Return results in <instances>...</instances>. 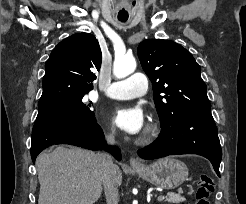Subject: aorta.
<instances>
[{
  "label": "aorta",
  "mask_w": 246,
  "mask_h": 204,
  "mask_svg": "<svg viewBox=\"0 0 246 204\" xmlns=\"http://www.w3.org/2000/svg\"><path fill=\"white\" fill-rule=\"evenodd\" d=\"M136 69V61L133 56L116 57L113 65V73L117 78H124Z\"/></svg>",
  "instance_id": "obj_1"
}]
</instances>
